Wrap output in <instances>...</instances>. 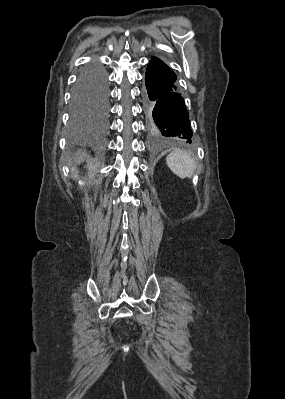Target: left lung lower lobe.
<instances>
[{"label":"left lung lower lobe","mask_w":285,"mask_h":399,"mask_svg":"<svg viewBox=\"0 0 285 399\" xmlns=\"http://www.w3.org/2000/svg\"><path fill=\"white\" fill-rule=\"evenodd\" d=\"M176 75L161 59L152 56L146 70L145 111L154 140H187L192 130L184 99L175 85Z\"/></svg>","instance_id":"obj_1"}]
</instances>
